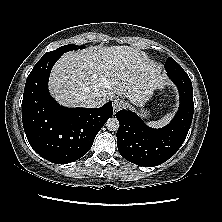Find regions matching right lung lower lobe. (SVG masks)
Masks as SVG:
<instances>
[{
    "instance_id": "98d812e1",
    "label": "right lung lower lobe",
    "mask_w": 222,
    "mask_h": 222,
    "mask_svg": "<svg viewBox=\"0 0 222 222\" xmlns=\"http://www.w3.org/2000/svg\"><path fill=\"white\" fill-rule=\"evenodd\" d=\"M60 55L42 57L30 72L22 101V121L31 147L44 159L73 162L92 147L95 136L112 117V102L96 109L66 108L49 94L48 78Z\"/></svg>"
}]
</instances>
